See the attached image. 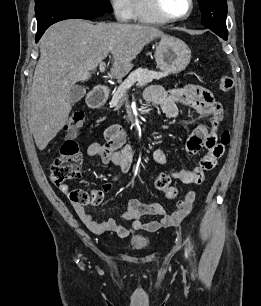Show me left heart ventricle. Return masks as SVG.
<instances>
[{"mask_svg":"<svg viewBox=\"0 0 261 306\" xmlns=\"http://www.w3.org/2000/svg\"><path fill=\"white\" fill-rule=\"evenodd\" d=\"M164 12L172 17L182 16L189 9L188 0H160Z\"/></svg>","mask_w":261,"mask_h":306,"instance_id":"left-heart-ventricle-1","label":"left heart ventricle"}]
</instances>
